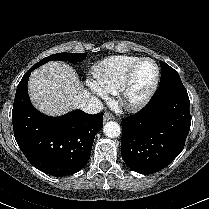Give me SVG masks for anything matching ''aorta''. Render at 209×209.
Listing matches in <instances>:
<instances>
[{
  "mask_svg": "<svg viewBox=\"0 0 209 209\" xmlns=\"http://www.w3.org/2000/svg\"><path fill=\"white\" fill-rule=\"evenodd\" d=\"M103 132L109 138H117L121 134V128L117 122L109 121L104 125Z\"/></svg>",
  "mask_w": 209,
  "mask_h": 209,
  "instance_id": "obj_1",
  "label": "aorta"
}]
</instances>
